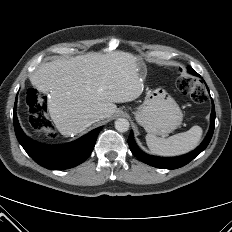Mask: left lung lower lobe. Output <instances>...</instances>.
Here are the masks:
<instances>
[{
    "label": "left lung lower lobe",
    "instance_id": "left-lung-lower-lobe-1",
    "mask_svg": "<svg viewBox=\"0 0 232 232\" xmlns=\"http://www.w3.org/2000/svg\"><path fill=\"white\" fill-rule=\"evenodd\" d=\"M188 72L199 76L198 73H196L191 67L188 68ZM214 125H215V107L212 100V112H211V125L208 131V134L204 141L201 143L200 146H198L194 151L183 155L179 157H172V158H163V157H155L150 156L142 152L136 145L133 133L131 132L128 138V144L130 147L131 152L137 157L140 161L157 167V168H164V169H177L180 168L186 164H188L191 160H193L197 155H199L209 144L213 131H214Z\"/></svg>",
    "mask_w": 232,
    "mask_h": 232
}]
</instances>
